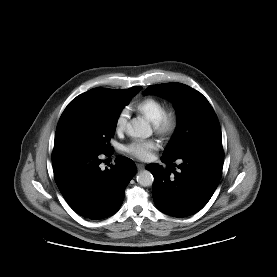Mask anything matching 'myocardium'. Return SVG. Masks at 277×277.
I'll list each match as a JSON object with an SVG mask.
<instances>
[{
	"label": "myocardium",
	"mask_w": 277,
	"mask_h": 277,
	"mask_svg": "<svg viewBox=\"0 0 277 277\" xmlns=\"http://www.w3.org/2000/svg\"><path fill=\"white\" fill-rule=\"evenodd\" d=\"M178 115L174 109H166L162 116L153 123L155 132L163 139L171 138L178 128Z\"/></svg>",
	"instance_id": "myocardium-1"
}]
</instances>
